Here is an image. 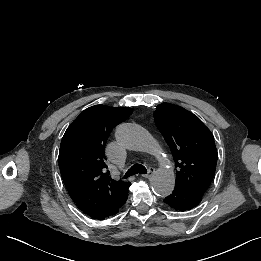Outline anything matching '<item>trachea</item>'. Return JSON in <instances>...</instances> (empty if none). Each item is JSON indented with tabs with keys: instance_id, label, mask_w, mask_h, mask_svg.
Returning a JSON list of instances; mask_svg holds the SVG:
<instances>
[{
	"instance_id": "trachea-1",
	"label": "trachea",
	"mask_w": 261,
	"mask_h": 261,
	"mask_svg": "<svg viewBox=\"0 0 261 261\" xmlns=\"http://www.w3.org/2000/svg\"><path fill=\"white\" fill-rule=\"evenodd\" d=\"M147 169L142 164H134L126 173L122 176V179H126L135 174H147Z\"/></svg>"
}]
</instances>
